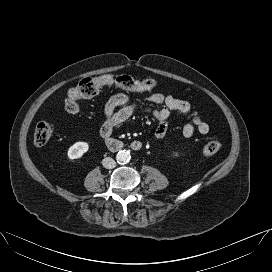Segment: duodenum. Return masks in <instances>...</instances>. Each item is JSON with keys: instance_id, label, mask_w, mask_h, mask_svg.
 I'll return each mask as SVG.
<instances>
[{"instance_id": "duodenum-1", "label": "duodenum", "mask_w": 272, "mask_h": 272, "mask_svg": "<svg viewBox=\"0 0 272 272\" xmlns=\"http://www.w3.org/2000/svg\"><path fill=\"white\" fill-rule=\"evenodd\" d=\"M105 139H106L107 147L112 152H118L124 149L125 147L130 148L132 151L138 152V151H141L143 148V143L142 141H139V140H134L128 144H125L124 142L117 140L115 138H111L110 136Z\"/></svg>"}]
</instances>
